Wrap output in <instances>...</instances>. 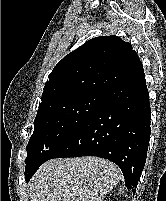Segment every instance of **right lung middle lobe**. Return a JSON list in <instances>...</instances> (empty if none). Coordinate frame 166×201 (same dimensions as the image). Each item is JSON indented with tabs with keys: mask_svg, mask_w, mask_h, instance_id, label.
I'll use <instances>...</instances> for the list:
<instances>
[{
	"mask_svg": "<svg viewBox=\"0 0 166 201\" xmlns=\"http://www.w3.org/2000/svg\"><path fill=\"white\" fill-rule=\"evenodd\" d=\"M102 95L87 94L59 102L35 118L27 145L25 179L29 181L54 149L99 105Z\"/></svg>",
	"mask_w": 166,
	"mask_h": 201,
	"instance_id": "obj_1",
	"label": "right lung middle lobe"
}]
</instances>
